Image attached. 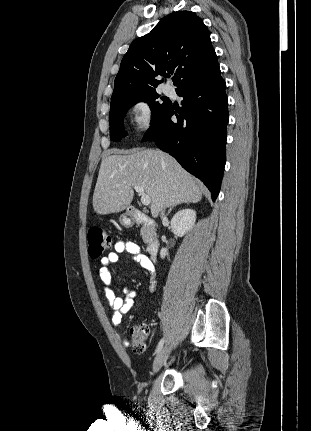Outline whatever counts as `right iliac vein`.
<instances>
[{"label": "right iliac vein", "mask_w": 311, "mask_h": 431, "mask_svg": "<svg viewBox=\"0 0 311 431\" xmlns=\"http://www.w3.org/2000/svg\"><path fill=\"white\" fill-rule=\"evenodd\" d=\"M169 354H170V347H168V346L164 347L158 353V355L156 356V358L154 360L153 367H152L153 374H155L156 372H158L160 370L162 365L166 362Z\"/></svg>", "instance_id": "right-iliac-vein-1"}]
</instances>
